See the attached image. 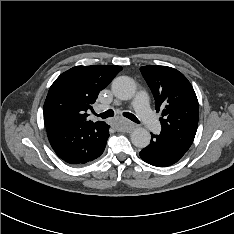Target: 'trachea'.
Segmentation results:
<instances>
[{"label": "trachea", "mask_w": 234, "mask_h": 234, "mask_svg": "<svg viewBox=\"0 0 234 234\" xmlns=\"http://www.w3.org/2000/svg\"><path fill=\"white\" fill-rule=\"evenodd\" d=\"M96 116L98 117H101L102 119H106V118H109V117H113L114 116V111L109 109L103 113H100V114H96L94 113ZM123 115L130 119L131 121L135 122V123H140V121L136 118L135 115H133L132 113H129V112H124Z\"/></svg>", "instance_id": "1"}]
</instances>
